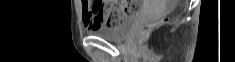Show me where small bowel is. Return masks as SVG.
I'll return each mask as SVG.
<instances>
[{"mask_svg": "<svg viewBox=\"0 0 235 62\" xmlns=\"http://www.w3.org/2000/svg\"><path fill=\"white\" fill-rule=\"evenodd\" d=\"M126 8V14H131L134 12V3L122 2L121 3ZM82 18L84 22V27L91 31L97 29L103 25L104 22L108 23V18L110 14V8H97L95 3L91 1H82Z\"/></svg>", "mask_w": 235, "mask_h": 62, "instance_id": "c3829d8e", "label": "small bowel"}]
</instances>
